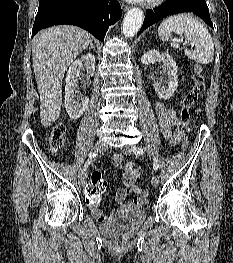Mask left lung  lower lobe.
Masks as SVG:
<instances>
[{
  "mask_svg": "<svg viewBox=\"0 0 233 263\" xmlns=\"http://www.w3.org/2000/svg\"><path fill=\"white\" fill-rule=\"evenodd\" d=\"M182 12L195 13L213 28L209 15V9L205 0H166L163 5L154 9V11L149 10L146 12L144 23L138 34L164 17Z\"/></svg>",
  "mask_w": 233,
  "mask_h": 263,
  "instance_id": "left-lung-lower-lobe-1",
  "label": "left lung lower lobe"
}]
</instances>
